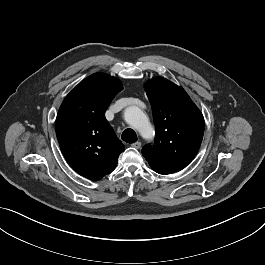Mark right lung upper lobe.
Here are the masks:
<instances>
[{
	"instance_id": "1",
	"label": "right lung upper lobe",
	"mask_w": 265,
	"mask_h": 265,
	"mask_svg": "<svg viewBox=\"0 0 265 265\" xmlns=\"http://www.w3.org/2000/svg\"><path fill=\"white\" fill-rule=\"evenodd\" d=\"M122 89L118 79L95 73L81 81L59 108L60 148L70 166L87 179L96 181L111 173L124 151L105 118L110 102Z\"/></svg>"
}]
</instances>
